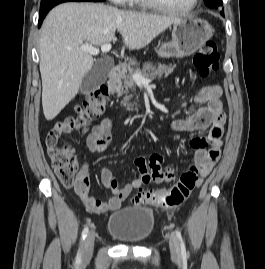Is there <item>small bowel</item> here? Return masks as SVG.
Masks as SVG:
<instances>
[{
	"instance_id": "small-bowel-1",
	"label": "small bowel",
	"mask_w": 265,
	"mask_h": 269,
	"mask_svg": "<svg viewBox=\"0 0 265 269\" xmlns=\"http://www.w3.org/2000/svg\"><path fill=\"white\" fill-rule=\"evenodd\" d=\"M193 77V73L190 71ZM222 90L219 86H208L201 89L194 98L195 104H205L204 107L190 108L187 118L175 121L173 129L183 132H202L208 128L211 132L214 127L221 128L225 120V113L222 110L220 101ZM114 121L111 118L102 119L95 125L86 139L87 148L93 153H101L108 150L111 143L112 128ZM210 142V147L207 148ZM189 144L195 152V160L202 167V179L205 178L220 157L222 146L221 134L217 138L210 137V141L203 136L191 137ZM138 175L129 180L125 186L119 187L118 181L109 168H101L100 179L106 189L112 192L113 196L108 202H102L90 196V179L87 168H83L77 176L74 186L75 192L83 202L84 206L92 213L113 212L120 209L123 202L128 200L131 194L151 182L164 184L171 182L175 177L173 168L164 166V156L154 153L146 160L144 157H137L134 160Z\"/></svg>"
}]
</instances>
